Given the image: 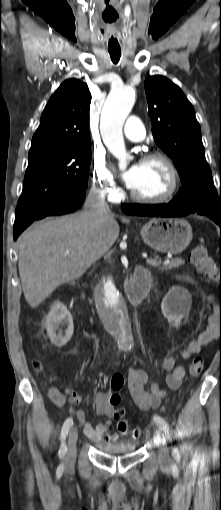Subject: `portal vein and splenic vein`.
<instances>
[{"label": "portal vein and splenic vein", "mask_w": 221, "mask_h": 510, "mask_svg": "<svg viewBox=\"0 0 221 510\" xmlns=\"http://www.w3.org/2000/svg\"><path fill=\"white\" fill-rule=\"evenodd\" d=\"M146 263L149 264V265H153V266H157V265L160 264L159 261H157L156 259H151V258H146ZM168 263H169V261L165 262V264H168Z\"/></svg>", "instance_id": "obj_1"}]
</instances>
